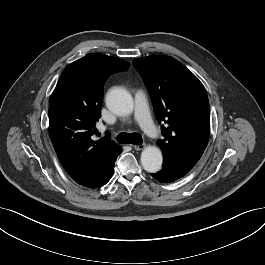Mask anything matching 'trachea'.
Listing matches in <instances>:
<instances>
[{"instance_id":"trachea-1","label":"trachea","mask_w":265,"mask_h":265,"mask_svg":"<svg viewBox=\"0 0 265 265\" xmlns=\"http://www.w3.org/2000/svg\"><path fill=\"white\" fill-rule=\"evenodd\" d=\"M116 139L118 142L123 143V144H127V143H132L134 145L142 144V137L138 133H132V134L120 133Z\"/></svg>"}]
</instances>
